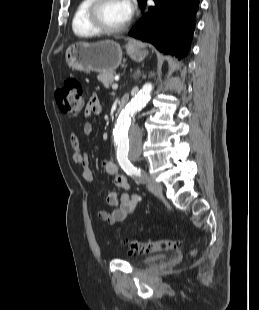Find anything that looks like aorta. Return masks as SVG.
Instances as JSON below:
<instances>
[{
  "label": "aorta",
  "mask_w": 259,
  "mask_h": 310,
  "mask_svg": "<svg viewBox=\"0 0 259 310\" xmlns=\"http://www.w3.org/2000/svg\"><path fill=\"white\" fill-rule=\"evenodd\" d=\"M152 85L144 84L139 93L121 111L114 129V145L118 156L137 159L142 149V133L135 124V115L147 104Z\"/></svg>",
  "instance_id": "762f6f07"
}]
</instances>
